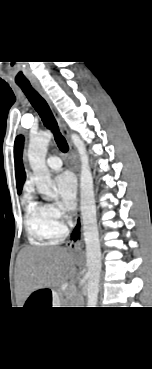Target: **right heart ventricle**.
Wrapping results in <instances>:
<instances>
[{
  "label": "right heart ventricle",
  "mask_w": 152,
  "mask_h": 369,
  "mask_svg": "<svg viewBox=\"0 0 152 369\" xmlns=\"http://www.w3.org/2000/svg\"><path fill=\"white\" fill-rule=\"evenodd\" d=\"M24 223L29 240L34 245L54 242L64 233V231L55 230L49 221L45 206L36 202L31 196H26L25 199Z\"/></svg>",
  "instance_id": "1"
}]
</instances>
